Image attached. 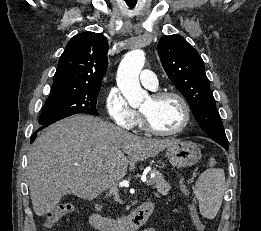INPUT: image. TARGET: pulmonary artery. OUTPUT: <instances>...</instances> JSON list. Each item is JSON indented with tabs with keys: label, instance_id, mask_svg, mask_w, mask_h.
Returning <instances> with one entry per match:
<instances>
[{
	"label": "pulmonary artery",
	"instance_id": "1",
	"mask_svg": "<svg viewBox=\"0 0 261 231\" xmlns=\"http://www.w3.org/2000/svg\"><path fill=\"white\" fill-rule=\"evenodd\" d=\"M140 80L142 85L150 90H156L158 88L156 75L149 69H144L141 71Z\"/></svg>",
	"mask_w": 261,
	"mask_h": 231
}]
</instances>
